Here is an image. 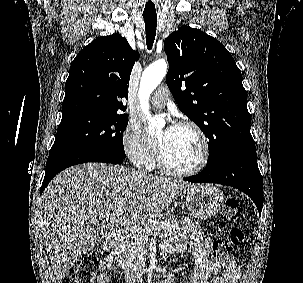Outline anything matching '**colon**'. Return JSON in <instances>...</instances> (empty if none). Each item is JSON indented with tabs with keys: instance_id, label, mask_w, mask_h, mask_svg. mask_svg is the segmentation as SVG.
Here are the masks:
<instances>
[{
	"instance_id": "5ec220e1",
	"label": "colon",
	"mask_w": 303,
	"mask_h": 283,
	"mask_svg": "<svg viewBox=\"0 0 303 283\" xmlns=\"http://www.w3.org/2000/svg\"><path fill=\"white\" fill-rule=\"evenodd\" d=\"M221 221L228 225H237L241 219L239 204L236 199H228L221 209ZM243 240V232L232 227L229 235L214 243V249L220 252H234ZM99 266L98 257L94 254L85 256L63 280V283H93Z\"/></svg>"
}]
</instances>
